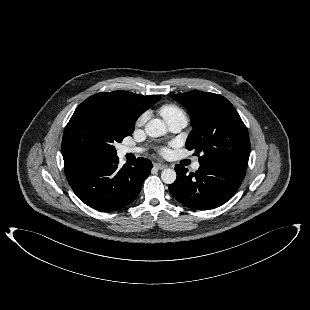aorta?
<instances>
[{"mask_svg":"<svg viewBox=\"0 0 310 310\" xmlns=\"http://www.w3.org/2000/svg\"><path fill=\"white\" fill-rule=\"evenodd\" d=\"M145 132L150 137H160L166 133V127L162 120L152 119L145 126ZM176 172L173 169H164L161 172V179L166 184H172L176 180Z\"/></svg>","mask_w":310,"mask_h":310,"instance_id":"obj_1","label":"aorta"}]
</instances>
